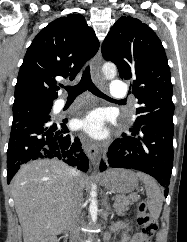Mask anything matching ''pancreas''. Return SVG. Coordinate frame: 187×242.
Listing matches in <instances>:
<instances>
[{"label":"pancreas","mask_w":187,"mask_h":242,"mask_svg":"<svg viewBox=\"0 0 187 242\" xmlns=\"http://www.w3.org/2000/svg\"><path fill=\"white\" fill-rule=\"evenodd\" d=\"M138 195H130V196H116L114 198V211L118 215H122L125 211L129 209V206L138 201Z\"/></svg>","instance_id":"pancreas-1"}]
</instances>
